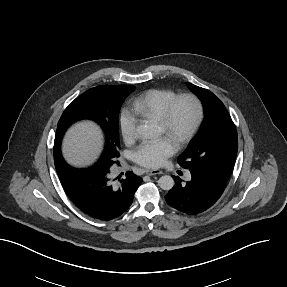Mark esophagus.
Instances as JSON below:
<instances>
[{"instance_id": "1", "label": "esophagus", "mask_w": 287, "mask_h": 287, "mask_svg": "<svg viewBox=\"0 0 287 287\" xmlns=\"http://www.w3.org/2000/svg\"><path fill=\"white\" fill-rule=\"evenodd\" d=\"M145 173L150 176L163 174L161 170H146Z\"/></svg>"}]
</instances>
